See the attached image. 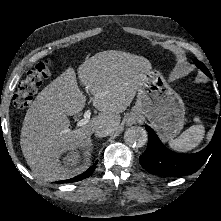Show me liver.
I'll use <instances>...</instances> for the list:
<instances>
[{
  "mask_svg": "<svg viewBox=\"0 0 221 221\" xmlns=\"http://www.w3.org/2000/svg\"><path fill=\"white\" fill-rule=\"evenodd\" d=\"M151 69L145 57L118 50L102 51L86 59L78 67V75L100 112L74 130L69 129L67 116L79 114L86 102L74 69L68 68L48 84L27 110L21 129V150L33 175L55 181L79 170L64 167L60 162L62 154L77 148L91 150V135L98 127L117 131L120 113L130 106L140 80Z\"/></svg>",
  "mask_w": 221,
  "mask_h": 221,
  "instance_id": "1",
  "label": "liver"
}]
</instances>
